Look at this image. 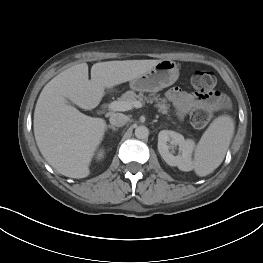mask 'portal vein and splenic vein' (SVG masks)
<instances>
[{
    "instance_id": "obj_1",
    "label": "portal vein and splenic vein",
    "mask_w": 263,
    "mask_h": 263,
    "mask_svg": "<svg viewBox=\"0 0 263 263\" xmlns=\"http://www.w3.org/2000/svg\"><path fill=\"white\" fill-rule=\"evenodd\" d=\"M143 104L140 101L126 102V101H113L108 105L110 111H127L132 108H141Z\"/></svg>"
}]
</instances>
